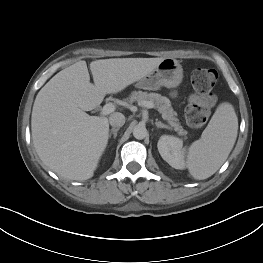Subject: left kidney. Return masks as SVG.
Here are the masks:
<instances>
[{"label":"left kidney","instance_id":"5707ae66","mask_svg":"<svg viewBox=\"0 0 263 263\" xmlns=\"http://www.w3.org/2000/svg\"><path fill=\"white\" fill-rule=\"evenodd\" d=\"M157 147L163 160L170 166L175 169H183L185 167V149L181 139L171 135H162Z\"/></svg>","mask_w":263,"mask_h":263}]
</instances>
